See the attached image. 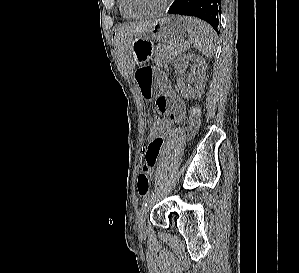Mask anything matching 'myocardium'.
<instances>
[{"mask_svg": "<svg viewBox=\"0 0 299 273\" xmlns=\"http://www.w3.org/2000/svg\"><path fill=\"white\" fill-rule=\"evenodd\" d=\"M122 1V6L124 8V10L131 16L135 17V18H142V17H150V16H155L158 15L160 13H162L163 11L166 10V8L168 7V5L170 4L171 0H164L162 2V4L157 7L154 10L151 11H145V12H138L133 10L129 4H128V0H121Z\"/></svg>", "mask_w": 299, "mask_h": 273, "instance_id": "myocardium-1", "label": "myocardium"}]
</instances>
